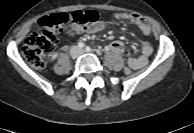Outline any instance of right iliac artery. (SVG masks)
<instances>
[{
	"label": "right iliac artery",
	"mask_w": 194,
	"mask_h": 133,
	"mask_svg": "<svg viewBox=\"0 0 194 133\" xmlns=\"http://www.w3.org/2000/svg\"><path fill=\"white\" fill-rule=\"evenodd\" d=\"M78 47H79V48H84V47H85V44H84L83 42H79V43H78Z\"/></svg>",
	"instance_id": "82829eb1"
}]
</instances>
